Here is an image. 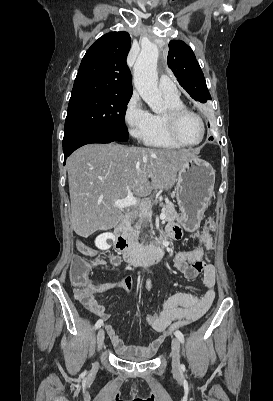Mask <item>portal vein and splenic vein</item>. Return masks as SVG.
I'll return each instance as SVG.
<instances>
[{
  "mask_svg": "<svg viewBox=\"0 0 273 401\" xmlns=\"http://www.w3.org/2000/svg\"><path fill=\"white\" fill-rule=\"evenodd\" d=\"M137 203V198L136 196H133V192H128L126 198H122V201H115L114 207H117V209H123V207H131V205H137ZM160 219L161 221H164V213H161Z\"/></svg>",
  "mask_w": 273,
  "mask_h": 401,
  "instance_id": "obj_1",
  "label": "portal vein and splenic vein"
}]
</instances>
